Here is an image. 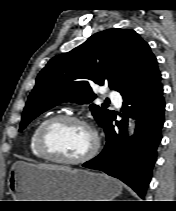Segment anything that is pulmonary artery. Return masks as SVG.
Segmentation results:
<instances>
[{
  "instance_id": "1",
  "label": "pulmonary artery",
  "mask_w": 176,
  "mask_h": 211,
  "mask_svg": "<svg viewBox=\"0 0 176 211\" xmlns=\"http://www.w3.org/2000/svg\"><path fill=\"white\" fill-rule=\"evenodd\" d=\"M109 97L115 104L121 105L122 100H121L120 95L117 92H114V91L110 92Z\"/></svg>"
}]
</instances>
